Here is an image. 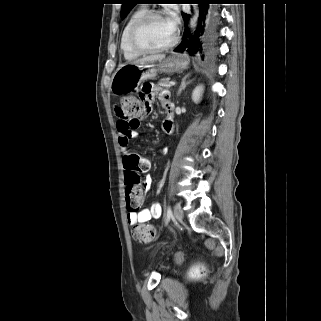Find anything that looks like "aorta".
Listing matches in <instances>:
<instances>
[{
	"label": "aorta",
	"mask_w": 321,
	"mask_h": 321,
	"mask_svg": "<svg viewBox=\"0 0 321 321\" xmlns=\"http://www.w3.org/2000/svg\"><path fill=\"white\" fill-rule=\"evenodd\" d=\"M194 12H195V14H194L193 18L191 19V26L193 28L196 27L197 21H198V17H199V9H198L197 5H194Z\"/></svg>",
	"instance_id": "1"
}]
</instances>
